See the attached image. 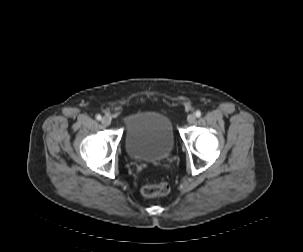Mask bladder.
Listing matches in <instances>:
<instances>
[{
  "mask_svg": "<svg viewBox=\"0 0 303 252\" xmlns=\"http://www.w3.org/2000/svg\"><path fill=\"white\" fill-rule=\"evenodd\" d=\"M127 155L134 160L160 162L174 150L170 120L159 112L145 111L131 116L124 124Z\"/></svg>",
  "mask_w": 303,
  "mask_h": 252,
  "instance_id": "1",
  "label": "bladder"
}]
</instances>
